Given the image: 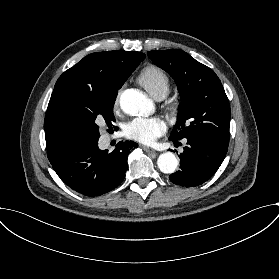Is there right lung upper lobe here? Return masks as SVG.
Listing matches in <instances>:
<instances>
[{
	"label": "right lung upper lobe",
	"mask_w": 279,
	"mask_h": 279,
	"mask_svg": "<svg viewBox=\"0 0 279 279\" xmlns=\"http://www.w3.org/2000/svg\"><path fill=\"white\" fill-rule=\"evenodd\" d=\"M145 57L144 53L134 51H104L87 55L59 77L48 109L60 93L73 88L112 87L124 84ZM45 138L50 162L68 153L50 134L48 127L45 128Z\"/></svg>",
	"instance_id": "cb5924a9"
}]
</instances>
